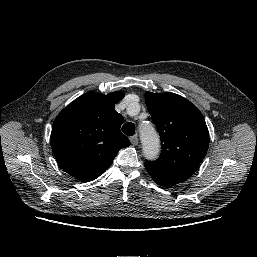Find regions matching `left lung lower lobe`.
Here are the masks:
<instances>
[{"label": "left lung lower lobe", "mask_w": 257, "mask_h": 257, "mask_svg": "<svg viewBox=\"0 0 257 257\" xmlns=\"http://www.w3.org/2000/svg\"><path fill=\"white\" fill-rule=\"evenodd\" d=\"M145 168L152 177V179L161 186H172L178 183H182L185 181L187 178L181 176V175H176V174H168L162 171H159L152 167L151 165H148L146 163Z\"/></svg>", "instance_id": "1"}]
</instances>
